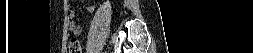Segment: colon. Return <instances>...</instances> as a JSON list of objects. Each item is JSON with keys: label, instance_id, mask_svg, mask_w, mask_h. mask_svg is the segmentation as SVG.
<instances>
[{"label": "colon", "instance_id": "1", "mask_svg": "<svg viewBox=\"0 0 253 53\" xmlns=\"http://www.w3.org/2000/svg\"><path fill=\"white\" fill-rule=\"evenodd\" d=\"M69 53H81V46L78 39L73 38L69 42Z\"/></svg>", "mask_w": 253, "mask_h": 53}]
</instances>
